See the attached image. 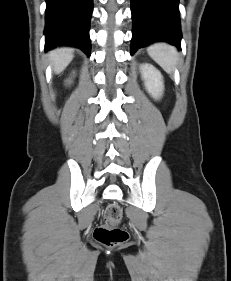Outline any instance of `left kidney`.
<instances>
[{"label":"left kidney","instance_id":"5707ae66","mask_svg":"<svg viewBox=\"0 0 231 281\" xmlns=\"http://www.w3.org/2000/svg\"><path fill=\"white\" fill-rule=\"evenodd\" d=\"M142 77L145 82L147 91L153 98L158 99L161 97L164 89L163 77L161 73L152 65H142Z\"/></svg>","mask_w":231,"mask_h":281}]
</instances>
